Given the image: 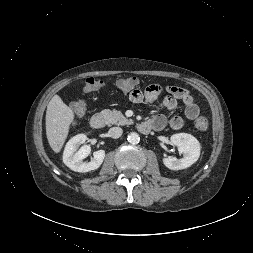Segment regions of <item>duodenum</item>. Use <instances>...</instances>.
I'll use <instances>...</instances> for the list:
<instances>
[{
  "label": "duodenum",
  "mask_w": 253,
  "mask_h": 253,
  "mask_svg": "<svg viewBox=\"0 0 253 253\" xmlns=\"http://www.w3.org/2000/svg\"><path fill=\"white\" fill-rule=\"evenodd\" d=\"M105 117L101 113L94 114L90 119V125L94 129H101L105 126ZM138 130L142 133H148L152 128V124L149 121L140 123L137 126Z\"/></svg>",
  "instance_id": "duodenum-1"
}]
</instances>
